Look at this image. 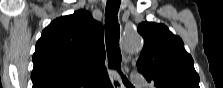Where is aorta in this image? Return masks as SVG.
I'll return each instance as SVG.
<instances>
[{"mask_svg": "<svg viewBox=\"0 0 223 88\" xmlns=\"http://www.w3.org/2000/svg\"><path fill=\"white\" fill-rule=\"evenodd\" d=\"M122 45L125 51H140L143 47V39L138 33L125 34L122 38Z\"/></svg>", "mask_w": 223, "mask_h": 88, "instance_id": "1", "label": "aorta"}]
</instances>
